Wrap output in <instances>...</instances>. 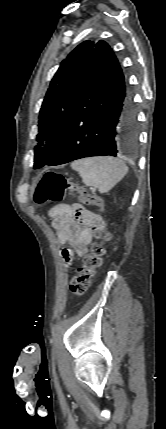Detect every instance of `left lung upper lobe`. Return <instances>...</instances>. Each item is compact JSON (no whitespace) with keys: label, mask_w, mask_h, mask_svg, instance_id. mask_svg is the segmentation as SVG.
<instances>
[{"label":"left lung upper lobe","mask_w":166,"mask_h":429,"mask_svg":"<svg viewBox=\"0 0 166 429\" xmlns=\"http://www.w3.org/2000/svg\"><path fill=\"white\" fill-rule=\"evenodd\" d=\"M96 44L78 45L55 73L39 113L34 168L42 167L57 147L90 75Z\"/></svg>","instance_id":"left-lung-upper-lobe-1"}]
</instances>
